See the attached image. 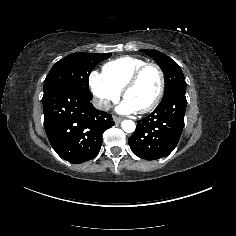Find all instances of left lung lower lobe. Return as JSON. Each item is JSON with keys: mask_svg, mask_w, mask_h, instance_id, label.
I'll list each match as a JSON object with an SVG mask.
<instances>
[{"mask_svg": "<svg viewBox=\"0 0 236 236\" xmlns=\"http://www.w3.org/2000/svg\"><path fill=\"white\" fill-rule=\"evenodd\" d=\"M186 90H177L163 97L157 108L137 121L133 135L128 139L133 153L146 160L169 155L180 139L187 106Z\"/></svg>", "mask_w": 236, "mask_h": 236, "instance_id": "left-lung-lower-lobe-1", "label": "left lung lower lobe"}]
</instances>
